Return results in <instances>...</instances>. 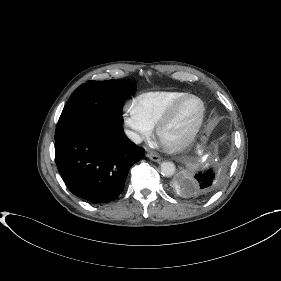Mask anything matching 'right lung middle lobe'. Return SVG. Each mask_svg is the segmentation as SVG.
<instances>
[{"instance_id":"obj_1","label":"right lung middle lobe","mask_w":281,"mask_h":281,"mask_svg":"<svg viewBox=\"0 0 281 281\" xmlns=\"http://www.w3.org/2000/svg\"><path fill=\"white\" fill-rule=\"evenodd\" d=\"M136 90L127 80L88 81L79 86L66 103L56 132L81 125H122V106Z\"/></svg>"}]
</instances>
